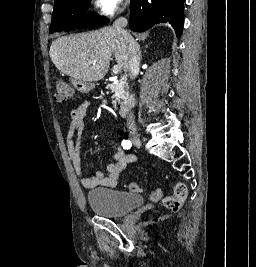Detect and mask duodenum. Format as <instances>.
<instances>
[{
	"label": "duodenum",
	"instance_id": "duodenum-1",
	"mask_svg": "<svg viewBox=\"0 0 256 267\" xmlns=\"http://www.w3.org/2000/svg\"><path fill=\"white\" fill-rule=\"evenodd\" d=\"M98 78H73V86L75 90H82V94H92V89H88V86H93L94 83H98ZM133 97L129 96L119 102V114L122 117H126L130 113L131 106L133 104Z\"/></svg>",
	"mask_w": 256,
	"mask_h": 267
}]
</instances>
